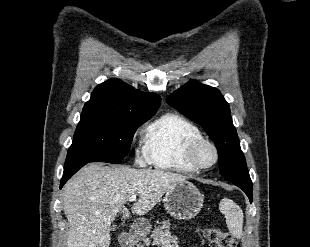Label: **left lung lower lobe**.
<instances>
[{"label":"left lung lower lobe","mask_w":310,"mask_h":247,"mask_svg":"<svg viewBox=\"0 0 310 247\" xmlns=\"http://www.w3.org/2000/svg\"><path fill=\"white\" fill-rule=\"evenodd\" d=\"M225 180L232 182L239 188H241L248 196L250 202H252V181L250 179L249 173L238 177H224Z\"/></svg>","instance_id":"1"}]
</instances>
